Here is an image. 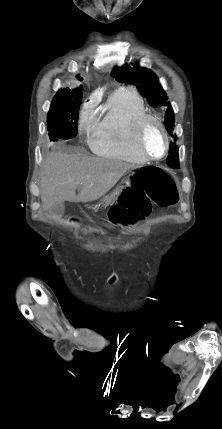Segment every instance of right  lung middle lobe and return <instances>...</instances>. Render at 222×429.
Segmentation results:
<instances>
[{
  "mask_svg": "<svg viewBox=\"0 0 222 429\" xmlns=\"http://www.w3.org/2000/svg\"><path fill=\"white\" fill-rule=\"evenodd\" d=\"M82 101V87L57 94L47 115L50 141L71 139L77 135L78 112Z\"/></svg>",
  "mask_w": 222,
  "mask_h": 429,
  "instance_id": "dd1d6c3e",
  "label": "right lung middle lobe"
}]
</instances>
